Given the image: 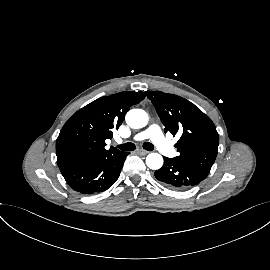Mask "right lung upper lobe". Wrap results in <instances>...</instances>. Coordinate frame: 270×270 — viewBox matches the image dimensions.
<instances>
[{"mask_svg":"<svg viewBox=\"0 0 270 270\" xmlns=\"http://www.w3.org/2000/svg\"><path fill=\"white\" fill-rule=\"evenodd\" d=\"M145 98V93L126 91L101 97L78 110L63 126L56 140L59 168L95 157L118 152L105 149L106 139L113 137L129 108Z\"/></svg>","mask_w":270,"mask_h":270,"instance_id":"obj_1","label":"right lung upper lobe"}]
</instances>
